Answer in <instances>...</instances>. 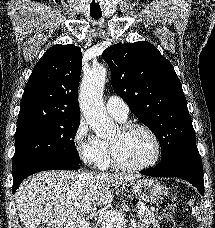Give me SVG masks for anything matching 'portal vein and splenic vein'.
I'll use <instances>...</instances> for the list:
<instances>
[{"label": "portal vein and splenic vein", "instance_id": "obj_1", "mask_svg": "<svg viewBox=\"0 0 215 228\" xmlns=\"http://www.w3.org/2000/svg\"><path fill=\"white\" fill-rule=\"evenodd\" d=\"M138 212L140 210H145L144 204H138ZM84 214H89V216H95V214H103V220L106 222H122L123 216H120L118 212H95L91 206H84Z\"/></svg>", "mask_w": 215, "mask_h": 228}]
</instances>
